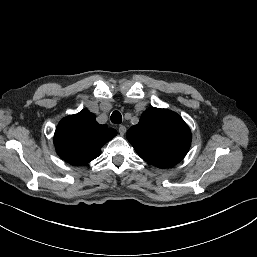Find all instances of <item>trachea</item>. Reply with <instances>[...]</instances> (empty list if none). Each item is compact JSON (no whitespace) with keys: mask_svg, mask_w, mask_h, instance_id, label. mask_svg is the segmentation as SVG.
I'll use <instances>...</instances> for the list:
<instances>
[{"mask_svg":"<svg viewBox=\"0 0 257 257\" xmlns=\"http://www.w3.org/2000/svg\"><path fill=\"white\" fill-rule=\"evenodd\" d=\"M111 122L114 124H120L122 122V115L119 111H114L111 114Z\"/></svg>","mask_w":257,"mask_h":257,"instance_id":"trachea-1","label":"trachea"}]
</instances>
